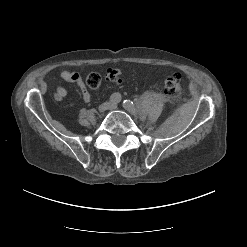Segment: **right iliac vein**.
I'll list each match as a JSON object with an SVG mask.
<instances>
[{"label":"right iliac vein","mask_w":247,"mask_h":247,"mask_svg":"<svg viewBox=\"0 0 247 247\" xmlns=\"http://www.w3.org/2000/svg\"><path fill=\"white\" fill-rule=\"evenodd\" d=\"M109 106H110V103H109V102H104V103H102L101 105H99L98 111H99L100 113H103V112H105L106 110L109 109Z\"/></svg>","instance_id":"obj_1"}]
</instances>
